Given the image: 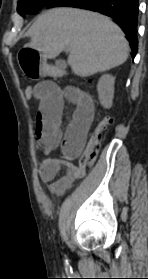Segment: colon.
<instances>
[{
	"mask_svg": "<svg viewBox=\"0 0 148 279\" xmlns=\"http://www.w3.org/2000/svg\"><path fill=\"white\" fill-rule=\"evenodd\" d=\"M33 92H34V87L33 86H25L24 88V94L27 98H32L33 97ZM114 121V118L110 115L105 116L99 125L97 126V129L92 136V138L89 140L81 158L79 161L80 167L86 168L91 166L98 155V151L100 149V146L103 142V130L110 124H112Z\"/></svg>",
	"mask_w": 148,
	"mask_h": 279,
	"instance_id": "colon-1",
	"label": "colon"
}]
</instances>
